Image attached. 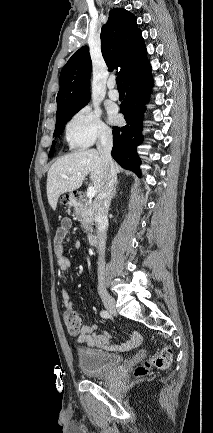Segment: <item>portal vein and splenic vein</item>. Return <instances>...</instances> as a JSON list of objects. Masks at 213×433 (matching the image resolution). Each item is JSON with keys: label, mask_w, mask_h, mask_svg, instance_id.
Wrapping results in <instances>:
<instances>
[{"label": "portal vein and splenic vein", "mask_w": 213, "mask_h": 433, "mask_svg": "<svg viewBox=\"0 0 213 433\" xmlns=\"http://www.w3.org/2000/svg\"><path fill=\"white\" fill-rule=\"evenodd\" d=\"M62 177L65 178V179L68 178L67 175H63ZM95 195H96V190H95V188L92 187V186L88 187V189H87V197H88L89 199H91V198H93Z\"/></svg>", "instance_id": "1"}]
</instances>
